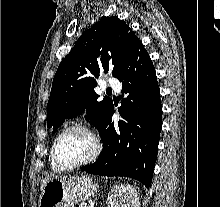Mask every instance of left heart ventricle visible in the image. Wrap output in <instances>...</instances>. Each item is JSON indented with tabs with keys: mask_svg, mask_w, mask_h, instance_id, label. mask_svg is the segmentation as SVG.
<instances>
[{
	"mask_svg": "<svg viewBox=\"0 0 220 207\" xmlns=\"http://www.w3.org/2000/svg\"><path fill=\"white\" fill-rule=\"evenodd\" d=\"M94 144L84 132L74 130L65 133L58 141L56 154L64 165L81 162L92 153Z\"/></svg>",
	"mask_w": 220,
	"mask_h": 207,
	"instance_id": "b2bd125f",
	"label": "left heart ventricle"
}]
</instances>
